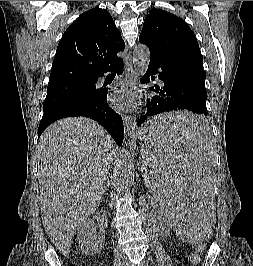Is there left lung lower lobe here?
<instances>
[{"instance_id": "0a47b994", "label": "left lung lower lobe", "mask_w": 253, "mask_h": 266, "mask_svg": "<svg viewBox=\"0 0 253 266\" xmlns=\"http://www.w3.org/2000/svg\"><path fill=\"white\" fill-rule=\"evenodd\" d=\"M160 68L159 79L162 86H150L151 98L147 99V112L139 119L138 126L143 124L148 117L172 110L185 109L203 118L193 120L182 125L161 124L151 128V132L158 136L167 134H184L199 137L205 134L207 122L203 115H207L205 89L206 73L203 63L184 55H159L150 52L149 68L142 83H149L150 76ZM152 80L155 77H151Z\"/></svg>"}]
</instances>
